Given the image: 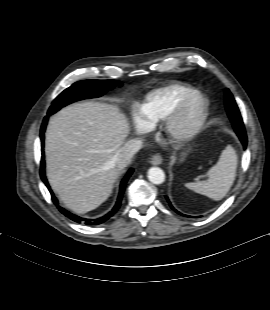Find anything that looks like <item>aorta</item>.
Wrapping results in <instances>:
<instances>
[{"mask_svg":"<svg viewBox=\"0 0 270 310\" xmlns=\"http://www.w3.org/2000/svg\"><path fill=\"white\" fill-rule=\"evenodd\" d=\"M148 179L153 184H162L165 181V173L159 167H151L148 170Z\"/></svg>","mask_w":270,"mask_h":310,"instance_id":"762f6f07","label":"aorta"}]
</instances>
